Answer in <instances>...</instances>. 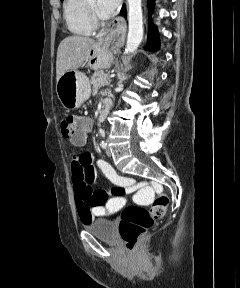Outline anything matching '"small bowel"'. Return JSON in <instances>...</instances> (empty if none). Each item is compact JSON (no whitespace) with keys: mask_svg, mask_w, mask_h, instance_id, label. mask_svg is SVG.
<instances>
[{"mask_svg":"<svg viewBox=\"0 0 240 288\" xmlns=\"http://www.w3.org/2000/svg\"><path fill=\"white\" fill-rule=\"evenodd\" d=\"M85 141L86 138L73 144L81 147ZM97 170L116 185L109 193L92 189L91 184L96 178ZM71 174L77 211L84 224L119 211L126 204L125 194L138 188L132 179L119 175L108 162L102 159L95 160L87 151L72 156ZM152 193V189L145 188L142 195L151 197Z\"/></svg>","mask_w":240,"mask_h":288,"instance_id":"1","label":"small bowel"}]
</instances>
